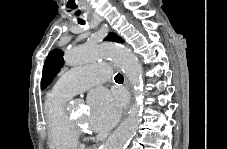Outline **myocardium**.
I'll list each match as a JSON object with an SVG mask.
<instances>
[{
	"label": "myocardium",
	"mask_w": 227,
	"mask_h": 149,
	"mask_svg": "<svg viewBox=\"0 0 227 149\" xmlns=\"http://www.w3.org/2000/svg\"><path fill=\"white\" fill-rule=\"evenodd\" d=\"M68 121H69V124H70L71 128L77 134H81V133H83L85 131L81 122H78V121H76V120H74L73 118H70V117H68Z\"/></svg>",
	"instance_id": "1"
}]
</instances>
